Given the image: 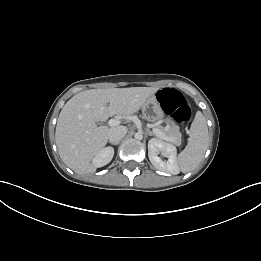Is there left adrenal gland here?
Returning a JSON list of instances; mask_svg holds the SVG:
<instances>
[{"instance_id": "left-adrenal-gland-1", "label": "left adrenal gland", "mask_w": 261, "mask_h": 261, "mask_svg": "<svg viewBox=\"0 0 261 261\" xmlns=\"http://www.w3.org/2000/svg\"><path fill=\"white\" fill-rule=\"evenodd\" d=\"M147 135L154 136V134L150 130H147Z\"/></svg>"}]
</instances>
